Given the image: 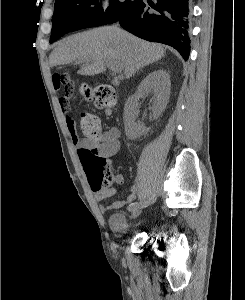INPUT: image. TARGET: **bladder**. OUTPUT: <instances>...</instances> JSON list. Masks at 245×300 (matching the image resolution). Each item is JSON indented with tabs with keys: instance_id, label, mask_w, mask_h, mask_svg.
I'll list each match as a JSON object with an SVG mask.
<instances>
[{
	"instance_id": "31cf9c89",
	"label": "bladder",
	"mask_w": 245,
	"mask_h": 300,
	"mask_svg": "<svg viewBox=\"0 0 245 300\" xmlns=\"http://www.w3.org/2000/svg\"><path fill=\"white\" fill-rule=\"evenodd\" d=\"M109 225L119 240L125 239L134 233V228L128 221L127 213L123 210L110 215Z\"/></svg>"
}]
</instances>
